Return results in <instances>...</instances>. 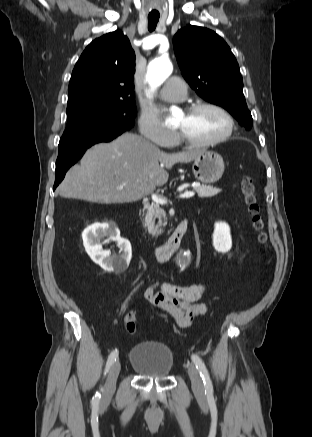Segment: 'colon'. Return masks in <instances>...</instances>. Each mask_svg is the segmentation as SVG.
Masks as SVG:
<instances>
[{
	"label": "colon",
	"mask_w": 312,
	"mask_h": 437,
	"mask_svg": "<svg viewBox=\"0 0 312 437\" xmlns=\"http://www.w3.org/2000/svg\"><path fill=\"white\" fill-rule=\"evenodd\" d=\"M241 192H242L244 203L251 216L252 225L257 232L258 240L261 243H265L267 241V235L263 230V221L260 215V208L254 193V183L251 176L245 175L242 178ZM124 324L126 330L130 334H135L137 330L136 314L132 311L128 312L124 317Z\"/></svg>",
	"instance_id": "5ec220e1"
}]
</instances>
